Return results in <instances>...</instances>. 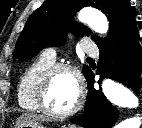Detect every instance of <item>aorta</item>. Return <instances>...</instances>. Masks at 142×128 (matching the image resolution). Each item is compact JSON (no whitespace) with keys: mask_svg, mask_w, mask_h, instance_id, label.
<instances>
[{"mask_svg":"<svg viewBox=\"0 0 142 128\" xmlns=\"http://www.w3.org/2000/svg\"><path fill=\"white\" fill-rule=\"evenodd\" d=\"M78 19L99 34L108 32L107 18L96 9H82L78 14ZM102 90L107 100L118 107L136 108L139 105L138 98L128 88L111 79L103 81ZM141 119L142 117L139 116L126 119L120 122L116 128H139Z\"/></svg>","mask_w":142,"mask_h":128,"instance_id":"obj_1","label":"aorta"}]
</instances>
